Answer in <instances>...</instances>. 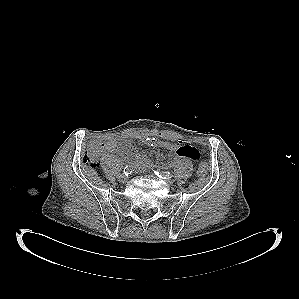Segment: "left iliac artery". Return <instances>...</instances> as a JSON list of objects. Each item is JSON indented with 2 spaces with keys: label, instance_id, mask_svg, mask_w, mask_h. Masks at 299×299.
<instances>
[{
  "label": "left iliac artery",
  "instance_id": "1",
  "mask_svg": "<svg viewBox=\"0 0 299 299\" xmlns=\"http://www.w3.org/2000/svg\"><path fill=\"white\" fill-rule=\"evenodd\" d=\"M154 173L160 177V178H164V179H169L172 177L171 173L170 172H163V173H159V172H156L154 171Z\"/></svg>",
  "mask_w": 299,
  "mask_h": 299
}]
</instances>
